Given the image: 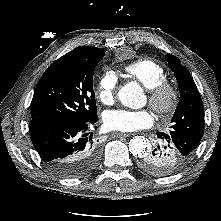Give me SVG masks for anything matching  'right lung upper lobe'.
Returning a JSON list of instances; mask_svg holds the SVG:
<instances>
[{
	"mask_svg": "<svg viewBox=\"0 0 221 221\" xmlns=\"http://www.w3.org/2000/svg\"><path fill=\"white\" fill-rule=\"evenodd\" d=\"M104 50L95 48V47H90V46H81L77 47L74 50L70 51L69 53L65 54L64 56H72L76 54H82V53H93V52H102Z\"/></svg>",
	"mask_w": 221,
	"mask_h": 221,
	"instance_id": "cb5924a9",
	"label": "right lung upper lobe"
}]
</instances>
